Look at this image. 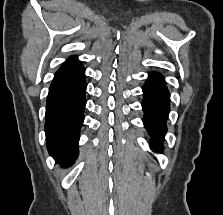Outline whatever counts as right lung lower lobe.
I'll use <instances>...</instances> for the list:
<instances>
[{
	"instance_id": "1",
	"label": "right lung lower lobe",
	"mask_w": 223,
	"mask_h": 215,
	"mask_svg": "<svg viewBox=\"0 0 223 215\" xmlns=\"http://www.w3.org/2000/svg\"><path fill=\"white\" fill-rule=\"evenodd\" d=\"M85 69L53 81L47 97L45 133L49 154L63 167L78 155L79 132L86 105Z\"/></svg>"
}]
</instances>
